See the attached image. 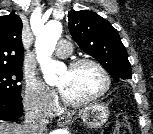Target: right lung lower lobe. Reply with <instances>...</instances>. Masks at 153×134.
<instances>
[{"mask_svg": "<svg viewBox=\"0 0 153 134\" xmlns=\"http://www.w3.org/2000/svg\"><path fill=\"white\" fill-rule=\"evenodd\" d=\"M23 104L20 100L0 97V120L15 121L22 116Z\"/></svg>", "mask_w": 153, "mask_h": 134, "instance_id": "1", "label": "right lung lower lobe"}]
</instances>
